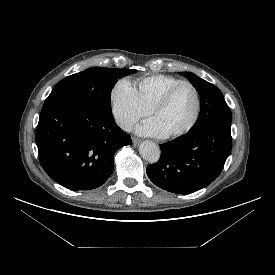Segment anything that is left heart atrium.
Wrapping results in <instances>:
<instances>
[{
  "mask_svg": "<svg viewBox=\"0 0 275 275\" xmlns=\"http://www.w3.org/2000/svg\"><path fill=\"white\" fill-rule=\"evenodd\" d=\"M137 133L145 136L164 137L166 134L154 119H148L136 128Z\"/></svg>",
  "mask_w": 275,
  "mask_h": 275,
  "instance_id": "obj_1",
  "label": "left heart atrium"
}]
</instances>
